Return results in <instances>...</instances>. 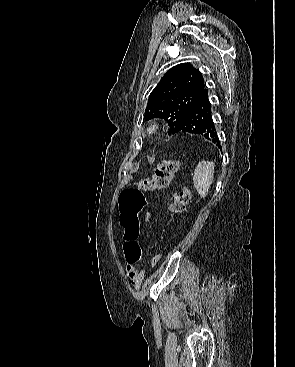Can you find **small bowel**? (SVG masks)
<instances>
[{
	"label": "small bowel",
	"mask_w": 295,
	"mask_h": 367,
	"mask_svg": "<svg viewBox=\"0 0 295 367\" xmlns=\"http://www.w3.org/2000/svg\"><path fill=\"white\" fill-rule=\"evenodd\" d=\"M125 271L133 288L138 290L141 287L144 278V272L138 269L135 263L129 262L127 261V259L125 264Z\"/></svg>",
	"instance_id": "small-bowel-1"
}]
</instances>
